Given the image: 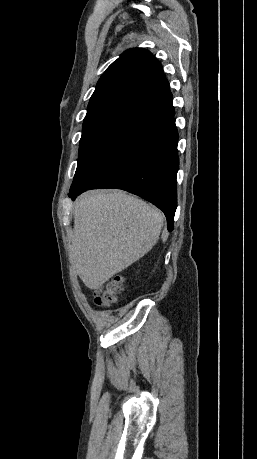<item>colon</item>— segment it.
<instances>
[{
  "label": "colon",
  "instance_id": "obj_1",
  "mask_svg": "<svg viewBox=\"0 0 257 459\" xmlns=\"http://www.w3.org/2000/svg\"><path fill=\"white\" fill-rule=\"evenodd\" d=\"M123 278L116 275L102 285L94 292V301L99 306H110L116 303L118 295L122 291Z\"/></svg>",
  "mask_w": 257,
  "mask_h": 459
}]
</instances>
